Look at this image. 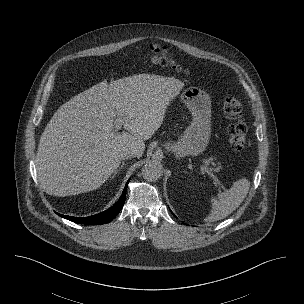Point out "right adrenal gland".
Instances as JSON below:
<instances>
[{"label": "right adrenal gland", "instance_id": "obj_1", "mask_svg": "<svg viewBox=\"0 0 304 304\" xmlns=\"http://www.w3.org/2000/svg\"><path fill=\"white\" fill-rule=\"evenodd\" d=\"M125 166V163H122L120 168L114 172V175L112 176V179L116 176V174Z\"/></svg>", "mask_w": 304, "mask_h": 304}]
</instances>
